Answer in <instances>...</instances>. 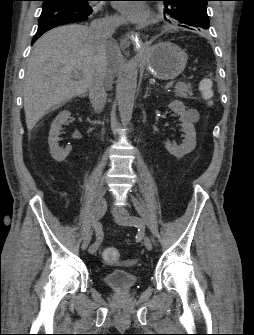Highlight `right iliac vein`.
<instances>
[{"label": "right iliac vein", "instance_id": "right-iliac-vein-1", "mask_svg": "<svg viewBox=\"0 0 254 335\" xmlns=\"http://www.w3.org/2000/svg\"><path fill=\"white\" fill-rule=\"evenodd\" d=\"M106 210H107V202L105 199L102 198L97 203L96 213H95L96 220L101 219L106 213ZM91 239H92V233H89L82 241V244H81L82 251H85L88 248L91 242Z\"/></svg>", "mask_w": 254, "mask_h": 335}]
</instances>
